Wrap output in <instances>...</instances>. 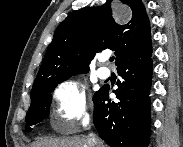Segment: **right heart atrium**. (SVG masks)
I'll list each match as a JSON object with an SVG mask.
<instances>
[{
	"label": "right heart atrium",
	"mask_w": 183,
	"mask_h": 147,
	"mask_svg": "<svg viewBox=\"0 0 183 147\" xmlns=\"http://www.w3.org/2000/svg\"><path fill=\"white\" fill-rule=\"evenodd\" d=\"M52 117L68 128L75 127L88 118V102L85 87L77 80H67L53 93Z\"/></svg>",
	"instance_id": "obj_1"
}]
</instances>
